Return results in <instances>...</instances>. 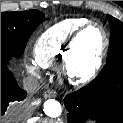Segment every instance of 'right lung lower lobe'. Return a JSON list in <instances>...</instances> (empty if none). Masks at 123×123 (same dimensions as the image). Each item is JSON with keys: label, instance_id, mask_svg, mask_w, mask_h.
<instances>
[{"label": "right lung lower lobe", "instance_id": "1", "mask_svg": "<svg viewBox=\"0 0 123 123\" xmlns=\"http://www.w3.org/2000/svg\"><path fill=\"white\" fill-rule=\"evenodd\" d=\"M26 95V91L17 85L7 64H1V116L12 102L22 101Z\"/></svg>", "mask_w": 123, "mask_h": 123}]
</instances>
